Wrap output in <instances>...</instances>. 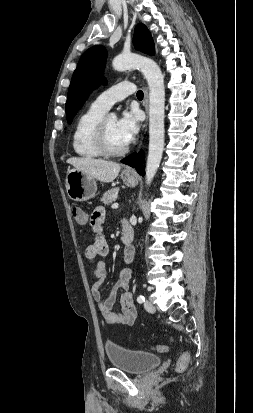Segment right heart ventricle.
<instances>
[{"label": "right heart ventricle", "mask_w": 253, "mask_h": 413, "mask_svg": "<svg viewBox=\"0 0 253 413\" xmlns=\"http://www.w3.org/2000/svg\"><path fill=\"white\" fill-rule=\"evenodd\" d=\"M104 114V111L91 105L78 117L72 132V147L78 156L86 159H95L102 156L94 144L93 132Z\"/></svg>", "instance_id": "1"}]
</instances>
